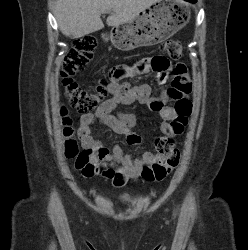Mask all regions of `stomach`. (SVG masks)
I'll use <instances>...</instances> for the list:
<instances>
[{"instance_id": "0dacf381", "label": "stomach", "mask_w": 248, "mask_h": 250, "mask_svg": "<svg viewBox=\"0 0 248 250\" xmlns=\"http://www.w3.org/2000/svg\"><path fill=\"white\" fill-rule=\"evenodd\" d=\"M189 18L190 12L182 0H161L132 21L113 27L106 38L122 51L153 46L170 38Z\"/></svg>"}]
</instances>
